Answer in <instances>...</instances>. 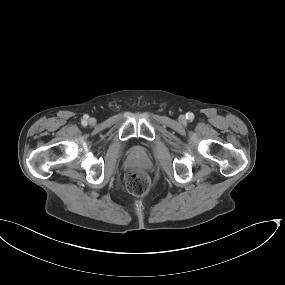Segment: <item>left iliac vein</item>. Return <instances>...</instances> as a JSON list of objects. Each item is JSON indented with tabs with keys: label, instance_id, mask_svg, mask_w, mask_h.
I'll list each match as a JSON object with an SVG mask.
<instances>
[{
	"label": "left iliac vein",
	"instance_id": "1",
	"mask_svg": "<svg viewBox=\"0 0 285 285\" xmlns=\"http://www.w3.org/2000/svg\"><path fill=\"white\" fill-rule=\"evenodd\" d=\"M180 120H181V121H184V120H185V117H184V116H180Z\"/></svg>",
	"mask_w": 285,
	"mask_h": 285
}]
</instances>
